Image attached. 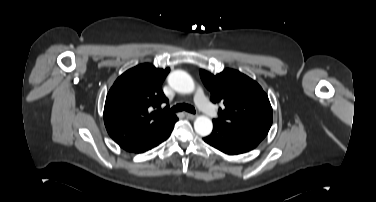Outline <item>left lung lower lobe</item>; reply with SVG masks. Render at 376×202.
<instances>
[{
  "label": "left lung lower lobe",
  "mask_w": 376,
  "mask_h": 202,
  "mask_svg": "<svg viewBox=\"0 0 376 202\" xmlns=\"http://www.w3.org/2000/svg\"><path fill=\"white\" fill-rule=\"evenodd\" d=\"M263 139L213 121L212 133L204 141L219 151L238 155L254 149Z\"/></svg>",
  "instance_id": "0a47b994"
}]
</instances>
